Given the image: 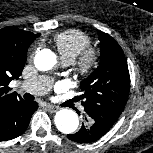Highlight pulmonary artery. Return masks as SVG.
<instances>
[{
	"label": "pulmonary artery",
	"mask_w": 153,
	"mask_h": 153,
	"mask_svg": "<svg viewBox=\"0 0 153 153\" xmlns=\"http://www.w3.org/2000/svg\"><path fill=\"white\" fill-rule=\"evenodd\" d=\"M65 65H69L70 61H63ZM53 80L48 76H37L21 83L20 87L32 94L43 95L48 92L52 86Z\"/></svg>",
	"instance_id": "pulmonary-artery-1"
}]
</instances>
